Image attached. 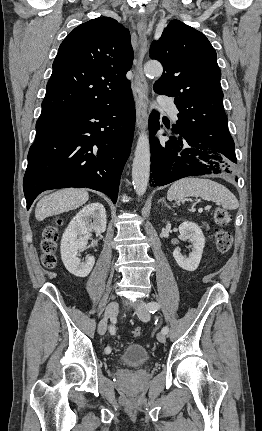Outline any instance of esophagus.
Wrapping results in <instances>:
<instances>
[{
	"mask_svg": "<svg viewBox=\"0 0 262 431\" xmlns=\"http://www.w3.org/2000/svg\"><path fill=\"white\" fill-rule=\"evenodd\" d=\"M138 31V43L140 45L139 61L136 65V73L132 82L133 95L136 106V127L138 132L145 128L148 121V104H147V93H146V80L143 75V58L147 49V25L139 24L137 27Z\"/></svg>",
	"mask_w": 262,
	"mask_h": 431,
	"instance_id": "obj_1",
	"label": "esophagus"
}]
</instances>
